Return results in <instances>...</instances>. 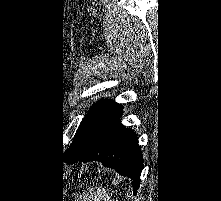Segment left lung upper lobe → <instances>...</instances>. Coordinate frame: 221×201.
I'll list each match as a JSON object with an SVG mask.
<instances>
[{"label":"left lung upper lobe","instance_id":"1","mask_svg":"<svg viewBox=\"0 0 221 201\" xmlns=\"http://www.w3.org/2000/svg\"><path fill=\"white\" fill-rule=\"evenodd\" d=\"M116 105L115 101L101 100L90 108L87 115L82 119L72 144L64 154L65 160L76 155L91 142L104 118Z\"/></svg>","mask_w":221,"mask_h":201}]
</instances>
